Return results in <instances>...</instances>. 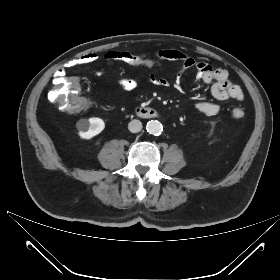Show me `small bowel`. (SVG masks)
I'll return each instance as SVG.
<instances>
[{"instance_id": "c3829d8e", "label": "small bowel", "mask_w": 280, "mask_h": 280, "mask_svg": "<svg viewBox=\"0 0 280 280\" xmlns=\"http://www.w3.org/2000/svg\"><path fill=\"white\" fill-rule=\"evenodd\" d=\"M149 56H134L126 52L110 51L105 54V59L107 61H122L128 66L138 67L141 60ZM98 57L94 53H88L79 56L75 59L68 61L64 68L59 70L57 74L66 73L67 70L91 65L97 61ZM156 65L160 61H180L183 64V71H187L195 68L196 75L195 80L199 83L210 84L211 94L218 101H225L233 99L235 101L241 102L244 100V93L241 88L232 81L229 76V72L222 68H215L212 65L205 62H196L193 58L186 55L182 51L169 49L161 50L155 54L154 57ZM148 81L150 84L158 87H166L173 85L175 88L179 89L181 87V74L175 76L172 80L156 76L155 74H150L148 76ZM118 85L126 90H132L136 88L139 81L136 78H126L121 77L117 81ZM196 108L206 114L215 115L220 110V105L214 101L201 100L196 103ZM240 108H235L233 110V116L237 117L234 112Z\"/></svg>"}]
</instances>
